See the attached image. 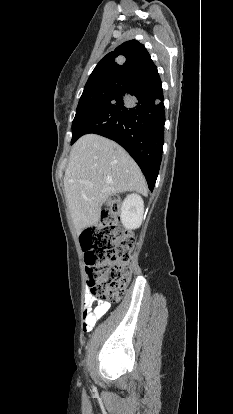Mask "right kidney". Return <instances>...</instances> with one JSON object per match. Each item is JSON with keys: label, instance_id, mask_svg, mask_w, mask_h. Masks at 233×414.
Listing matches in <instances>:
<instances>
[{"label": "right kidney", "instance_id": "ca27d5eb", "mask_svg": "<svg viewBox=\"0 0 233 414\" xmlns=\"http://www.w3.org/2000/svg\"><path fill=\"white\" fill-rule=\"evenodd\" d=\"M144 202L138 194L128 195L121 206V222L126 229H136L142 224Z\"/></svg>", "mask_w": 233, "mask_h": 414}]
</instances>
